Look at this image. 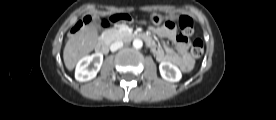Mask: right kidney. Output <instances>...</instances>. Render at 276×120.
Returning a JSON list of instances; mask_svg holds the SVG:
<instances>
[{
	"instance_id": "1",
	"label": "right kidney",
	"mask_w": 276,
	"mask_h": 120,
	"mask_svg": "<svg viewBox=\"0 0 276 120\" xmlns=\"http://www.w3.org/2000/svg\"><path fill=\"white\" fill-rule=\"evenodd\" d=\"M103 63V54L95 53L80 59L76 65L75 78L80 82H86L96 77ZM92 65V66H91Z\"/></svg>"
}]
</instances>
